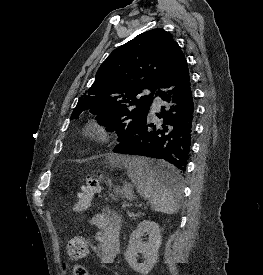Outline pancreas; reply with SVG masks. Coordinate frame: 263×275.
Segmentation results:
<instances>
[{
  "label": "pancreas",
  "instance_id": "1",
  "mask_svg": "<svg viewBox=\"0 0 263 275\" xmlns=\"http://www.w3.org/2000/svg\"><path fill=\"white\" fill-rule=\"evenodd\" d=\"M140 215H141V213L134 214V213L128 212V216L131 217V218H133V219H135V217H138Z\"/></svg>",
  "mask_w": 263,
  "mask_h": 275
}]
</instances>
